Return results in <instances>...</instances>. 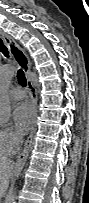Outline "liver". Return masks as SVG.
<instances>
[{"label": "liver", "instance_id": "1", "mask_svg": "<svg viewBox=\"0 0 89 203\" xmlns=\"http://www.w3.org/2000/svg\"><path fill=\"white\" fill-rule=\"evenodd\" d=\"M14 162L9 159L0 160V193L4 195L8 187V179L13 174Z\"/></svg>", "mask_w": 89, "mask_h": 203}]
</instances>
